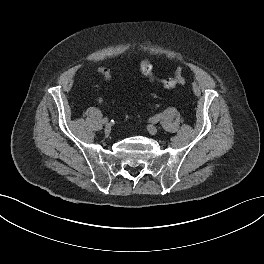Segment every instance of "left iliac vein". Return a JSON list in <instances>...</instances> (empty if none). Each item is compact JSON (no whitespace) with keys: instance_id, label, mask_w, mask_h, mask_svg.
Segmentation results:
<instances>
[{"instance_id":"left-iliac-vein-1","label":"left iliac vein","mask_w":264,"mask_h":264,"mask_svg":"<svg viewBox=\"0 0 264 264\" xmlns=\"http://www.w3.org/2000/svg\"><path fill=\"white\" fill-rule=\"evenodd\" d=\"M147 129H148V132L150 134H152V135H155L157 133V131H158V129H157V127L155 125H149L147 127Z\"/></svg>"}]
</instances>
